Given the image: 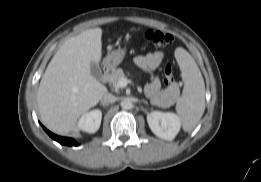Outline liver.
Wrapping results in <instances>:
<instances>
[{
  "mask_svg": "<svg viewBox=\"0 0 261 182\" xmlns=\"http://www.w3.org/2000/svg\"><path fill=\"white\" fill-rule=\"evenodd\" d=\"M102 29H88L66 40L48 64L37 92L45 126L56 133L76 132L79 116L95 106L107 88L90 73L102 56Z\"/></svg>",
  "mask_w": 261,
  "mask_h": 182,
  "instance_id": "1",
  "label": "liver"
}]
</instances>
